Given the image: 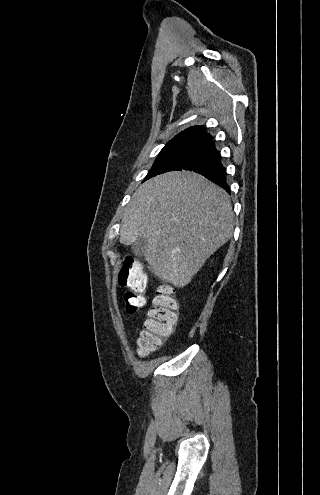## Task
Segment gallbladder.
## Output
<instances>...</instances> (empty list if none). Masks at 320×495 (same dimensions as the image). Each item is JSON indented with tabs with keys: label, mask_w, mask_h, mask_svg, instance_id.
<instances>
[{
	"label": "gallbladder",
	"mask_w": 320,
	"mask_h": 495,
	"mask_svg": "<svg viewBox=\"0 0 320 495\" xmlns=\"http://www.w3.org/2000/svg\"><path fill=\"white\" fill-rule=\"evenodd\" d=\"M148 241L143 235H139L136 242L131 245V249L135 254L144 255Z\"/></svg>",
	"instance_id": "obj_1"
}]
</instances>
